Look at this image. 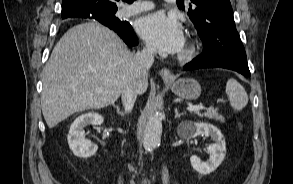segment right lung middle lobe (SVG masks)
<instances>
[{"label": "right lung middle lobe", "instance_id": "dd1d6c3e", "mask_svg": "<svg viewBox=\"0 0 293 184\" xmlns=\"http://www.w3.org/2000/svg\"><path fill=\"white\" fill-rule=\"evenodd\" d=\"M79 6L85 10H96V9H103L104 4L100 1L96 0H82L79 2ZM117 9L108 13L109 16L115 17L114 14L116 13Z\"/></svg>", "mask_w": 293, "mask_h": 184}]
</instances>
